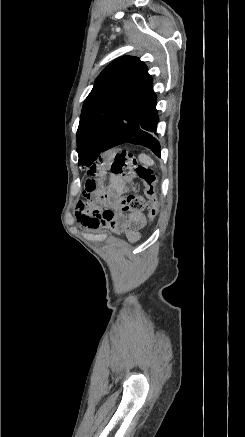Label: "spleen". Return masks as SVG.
Returning <instances> with one entry per match:
<instances>
[{
	"mask_svg": "<svg viewBox=\"0 0 245 437\" xmlns=\"http://www.w3.org/2000/svg\"><path fill=\"white\" fill-rule=\"evenodd\" d=\"M139 158H140V160L142 162L146 163L147 165H153L154 164V161L149 156H147L145 154H141L139 156Z\"/></svg>",
	"mask_w": 245,
	"mask_h": 437,
	"instance_id": "spleen-1",
	"label": "spleen"
}]
</instances>
